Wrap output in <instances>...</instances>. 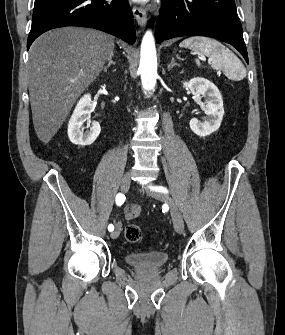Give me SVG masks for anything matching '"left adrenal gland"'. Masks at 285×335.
I'll list each match as a JSON object with an SVG mask.
<instances>
[{
    "instance_id": "1",
    "label": "left adrenal gland",
    "mask_w": 285,
    "mask_h": 335,
    "mask_svg": "<svg viewBox=\"0 0 285 335\" xmlns=\"http://www.w3.org/2000/svg\"><path fill=\"white\" fill-rule=\"evenodd\" d=\"M174 66H179V64H176L175 58H172L171 64H169V66H168V70H172V68H174Z\"/></svg>"
}]
</instances>
